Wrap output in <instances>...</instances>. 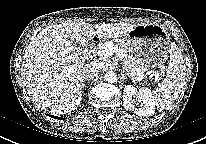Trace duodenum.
I'll list each match as a JSON object with an SVG mask.
<instances>
[{"label":"duodenum","mask_w":206,"mask_h":144,"mask_svg":"<svg viewBox=\"0 0 206 144\" xmlns=\"http://www.w3.org/2000/svg\"><path fill=\"white\" fill-rule=\"evenodd\" d=\"M98 41H99L98 37H94L93 40H92L93 44H96Z\"/></svg>","instance_id":"1"}]
</instances>
